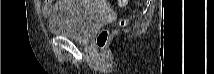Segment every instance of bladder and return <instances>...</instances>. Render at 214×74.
Returning a JSON list of instances; mask_svg holds the SVG:
<instances>
[{
    "label": "bladder",
    "instance_id": "obj_1",
    "mask_svg": "<svg viewBox=\"0 0 214 74\" xmlns=\"http://www.w3.org/2000/svg\"><path fill=\"white\" fill-rule=\"evenodd\" d=\"M70 2L69 6L56 9L49 20L50 32L55 36L85 41L98 25L100 11L90 1Z\"/></svg>",
    "mask_w": 214,
    "mask_h": 74
}]
</instances>
